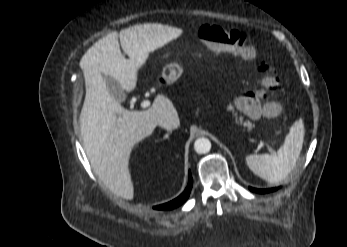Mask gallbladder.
Wrapping results in <instances>:
<instances>
[{
	"mask_svg": "<svg viewBox=\"0 0 347 247\" xmlns=\"http://www.w3.org/2000/svg\"><path fill=\"white\" fill-rule=\"evenodd\" d=\"M109 93L117 100L124 101L125 94L116 80L110 76H104Z\"/></svg>",
	"mask_w": 347,
	"mask_h": 247,
	"instance_id": "1",
	"label": "gallbladder"
}]
</instances>
